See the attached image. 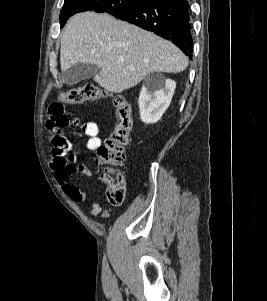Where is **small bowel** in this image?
I'll return each instance as SVG.
<instances>
[{
    "label": "small bowel",
    "mask_w": 267,
    "mask_h": 301,
    "mask_svg": "<svg viewBox=\"0 0 267 301\" xmlns=\"http://www.w3.org/2000/svg\"><path fill=\"white\" fill-rule=\"evenodd\" d=\"M49 118L46 121V129L52 143L50 166L54 171L55 179L63 192L75 202H84L88 198V192L78 188L72 183V176L76 173L93 176V171L83 164L84 154L74 152L72 143L63 133V129L74 124L79 128L78 135L86 139V147L96 150L101 146L99 138L100 128L96 122L79 123L71 120L68 112L61 102H52L48 107ZM90 215L109 218L110 213L103 210L101 204L95 201L91 205Z\"/></svg>",
    "instance_id": "c3829d8e"
}]
</instances>
